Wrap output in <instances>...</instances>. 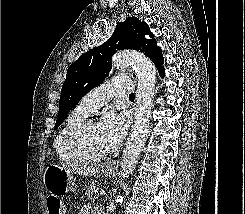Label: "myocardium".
I'll use <instances>...</instances> for the list:
<instances>
[{
    "label": "myocardium",
    "mask_w": 245,
    "mask_h": 214,
    "mask_svg": "<svg viewBox=\"0 0 245 214\" xmlns=\"http://www.w3.org/2000/svg\"><path fill=\"white\" fill-rule=\"evenodd\" d=\"M95 125V122L91 119H85L79 123L70 133L67 140V147L69 152L81 162H97L106 157L107 152L91 155L85 151L82 145V138L85 130Z\"/></svg>",
    "instance_id": "f54148a6"
}]
</instances>
